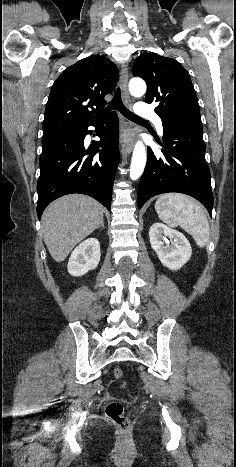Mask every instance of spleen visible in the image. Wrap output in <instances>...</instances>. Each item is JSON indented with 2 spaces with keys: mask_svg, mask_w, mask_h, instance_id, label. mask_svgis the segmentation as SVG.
<instances>
[{
  "mask_svg": "<svg viewBox=\"0 0 236 467\" xmlns=\"http://www.w3.org/2000/svg\"><path fill=\"white\" fill-rule=\"evenodd\" d=\"M159 218L170 227L180 226L191 234L200 247L209 240L208 219L200 204L184 194L168 193L161 195L155 203Z\"/></svg>",
  "mask_w": 236,
  "mask_h": 467,
  "instance_id": "obj_1",
  "label": "spleen"
}]
</instances>
